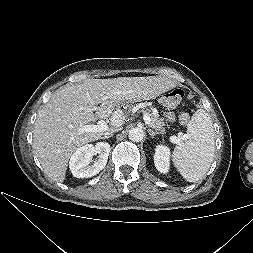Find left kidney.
Wrapping results in <instances>:
<instances>
[{
	"label": "left kidney",
	"mask_w": 253,
	"mask_h": 253,
	"mask_svg": "<svg viewBox=\"0 0 253 253\" xmlns=\"http://www.w3.org/2000/svg\"><path fill=\"white\" fill-rule=\"evenodd\" d=\"M170 150L167 146L158 145L155 149L154 164L161 173H167L170 166Z\"/></svg>",
	"instance_id": "obj_1"
}]
</instances>
